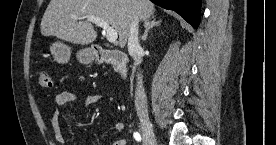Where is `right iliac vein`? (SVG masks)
Returning <instances> with one entry per match:
<instances>
[{
  "label": "right iliac vein",
  "mask_w": 276,
  "mask_h": 145,
  "mask_svg": "<svg viewBox=\"0 0 276 145\" xmlns=\"http://www.w3.org/2000/svg\"><path fill=\"white\" fill-rule=\"evenodd\" d=\"M140 122L142 125L144 145H156V137L149 118L147 116H141Z\"/></svg>",
  "instance_id": "right-iliac-vein-1"
}]
</instances>
